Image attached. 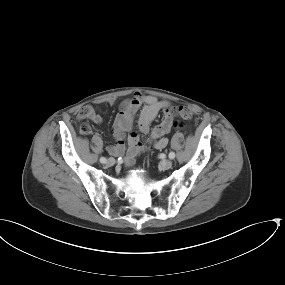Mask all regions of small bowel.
Returning <instances> with one entry per match:
<instances>
[{"label":"small bowel","instance_id":"1","mask_svg":"<svg viewBox=\"0 0 285 285\" xmlns=\"http://www.w3.org/2000/svg\"><path fill=\"white\" fill-rule=\"evenodd\" d=\"M112 103L113 100H110ZM140 109L137 119L139 131L144 135H149V142L156 149H163L168 145V139L165 135L172 128H179L171 116L172 103L168 100H158L152 95H143L135 93L132 97L124 99L120 103L119 112L115 117L112 126V133L116 143L108 147V151L113 154H122L125 151L123 140L127 139V149L125 163L127 166L134 164L136 157L145 150L140 143L137 133L132 131L135 122V115ZM164 114L162 120L154 127L150 128L151 122L158 113ZM78 121L90 120L95 124H103L104 119L96 112L92 105L83 106L77 113ZM82 134H90L91 126L88 123L80 125Z\"/></svg>","mask_w":285,"mask_h":285}]
</instances>
